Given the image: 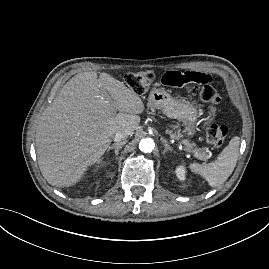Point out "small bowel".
Wrapping results in <instances>:
<instances>
[{
	"mask_svg": "<svg viewBox=\"0 0 269 269\" xmlns=\"http://www.w3.org/2000/svg\"><path fill=\"white\" fill-rule=\"evenodd\" d=\"M176 72V71H169L166 74L162 75L159 78V83L164 86V87H172V86H177V87H185V85L188 82H193L194 84H200L201 86L206 87L207 85H212L215 90L216 87L213 83V79L210 75L205 74V73H200V72H185L181 73ZM196 99H199L198 95H193ZM201 101V100H200ZM208 104H212L209 101L204 102ZM215 114V110L211 108L208 113V121L212 120Z\"/></svg>",
	"mask_w": 269,
	"mask_h": 269,
	"instance_id": "obj_1",
	"label": "small bowel"
}]
</instances>
